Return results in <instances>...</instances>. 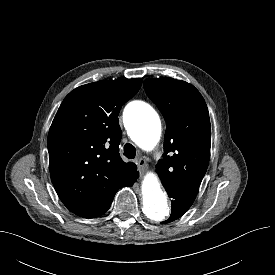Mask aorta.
Returning a JSON list of instances; mask_svg holds the SVG:
<instances>
[{"instance_id":"762f6f07","label":"aorta","mask_w":275,"mask_h":275,"mask_svg":"<svg viewBox=\"0 0 275 275\" xmlns=\"http://www.w3.org/2000/svg\"><path fill=\"white\" fill-rule=\"evenodd\" d=\"M124 122L131 139L143 150H152L161 135V120L158 113L147 103L134 101L124 110ZM142 202L145 216L159 223L170 215L167 196L158 177L150 173L142 184Z\"/></svg>"}]
</instances>
